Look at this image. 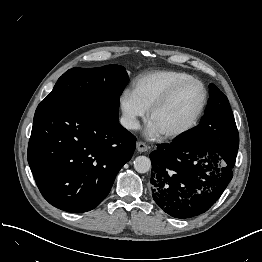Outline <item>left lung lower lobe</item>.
Here are the masks:
<instances>
[{
  "mask_svg": "<svg viewBox=\"0 0 262 262\" xmlns=\"http://www.w3.org/2000/svg\"><path fill=\"white\" fill-rule=\"evenodd\" d=\"M239 135L214 143L160 144L150 153V185L156 204L172 217L186 219L206 212L233 177Z\"/></svg>",
  "mask_w": 262,
  "mask_h": 262,
  "instance_id": "1",
  "label": "left lung lower lobe"
}]
</instances>
